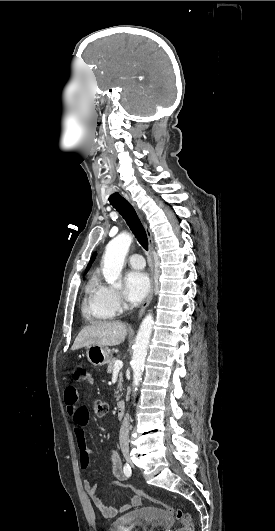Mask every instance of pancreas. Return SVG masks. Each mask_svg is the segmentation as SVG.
Instances as JSON below:
<instances>
[{
    "instance_id": "cf45deb5",
    "label": "pancreas",
    "mask_w": 275,
    "mask_h": 531,
    "mask_svg": "<svg viewBox=\"0 0 275 531\" xmlns=\"http://www.w3.org/2000/svg\"><path fill=\"white\" fill-rule=\"evenodd\" d=\"M115 361H118V359H111V361H109L107 373H112V371L114 369ZM122 383H123V375H122V373H119L118 389H120V391H121V389H123ZM117 393H119V391H115V397H116ZM116 399H120V395H117Z\"/></svg>"
}]
</instances>
